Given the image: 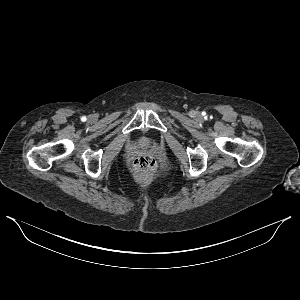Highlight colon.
I'll use <instances>...</instances> for the list:
<instances>
[{"label":"colon","mask_w":300,"mask_h":300,"mask_svg":"<svg viewBox=\"0 0 300 300\" xmlns=\"http://www.w3.org/2000/svg\"><path fill=\"white\" fill-rule=\"evenodd\" d=\"M132 170L139 179H147L155 174L157 162L154 157L143 155L134 160Z\"/></svg>","instance_id":"5ec220e1"}]
</instances>
